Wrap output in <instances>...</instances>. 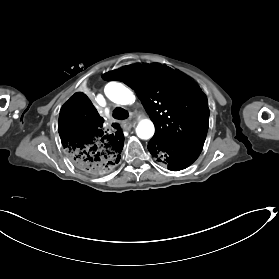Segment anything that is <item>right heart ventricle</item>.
Listing matches in <instances>:
<instances>
[{
	"mask_svg": "<svg viewBox=\"0 0 279 279\" xmlns=\"http://www.w3.org/2000/svg\"><path fill=\"white\" fill-rule=\"evenodd\" d=\"M84 64H87V62H84ZM102 64H103V62L101 60H98V61L94 62L91 65V67L88 70V72H87L88 77L94 76L98 72V70L101 68ZM109 84H112V85L116 86L120 90V92L128 94V90H127V88L123 84L118 83V82H111ZM114 101L116 103L120 104V105L124 104V102H125L123 99H120L118 97L116 99H114Z\"/></svg>",
	"mask_w": 279,
	"mask_h": 279,
	"instance_id": "obj_1",
	"label": "right heart ventricle"
}]
</instances>
